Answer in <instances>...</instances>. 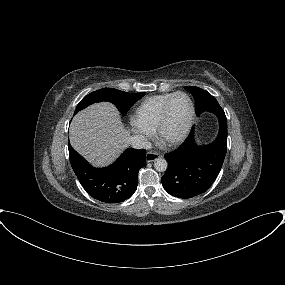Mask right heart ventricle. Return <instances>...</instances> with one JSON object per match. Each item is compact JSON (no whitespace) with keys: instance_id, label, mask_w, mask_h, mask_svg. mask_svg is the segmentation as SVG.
Instances as JSON below:
<instances>
[{"instance_id":"right-heart-ventricle-1","label":"right heart ventricle","mask_w":285,"mask_h":285,"mask_svg":"<svg viewBox=\"0 0 285 285\" xmlns=\"http://www.w3.org/2000/svg\"><path fill=\"white\" fill-rule=\"evenodd\" d=\"M174 93L154 95L143 100L135 109L133 120L149 130H154L162 109Z\"/></svg>"}]
</instances>
